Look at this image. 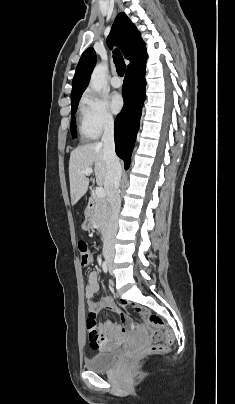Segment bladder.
<instances>
[{
  "mask_svg": "<svg viewBox=\"0 0 235 404\" xmlns=\"http://www.w3.org/2000/svg\"><path fill=\"white\" fill-rule=\"evenodd\" d=\"M120 346H105L98 353L85 361L86 366L94 372H107L119 360Z\"/></svg>",
  "mask_w": 235,
  "mask_h": 404,
  "instance_id": "1",
  "label": "bladder"
}]
</instances>
